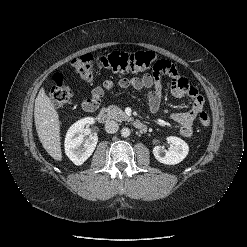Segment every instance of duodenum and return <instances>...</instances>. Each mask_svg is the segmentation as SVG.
Instances as JSON below:
<instances>
[{
	"instance_id": "1",
	"label": "duodenum",
	"mask_w": 247,
	"mask_h": 247,
	"mask_svg": "<svg viewBox=\"0 0 247 247\" xmlns=\"http://www.w3.org/2000/svg\"><path fill=\"white\" fill-rule=\"evenodd\" d=\"M109 119H110V115L106 109H102L97 114V120L101 123H105V122L109 121ZM134 126L136 129L143 131V132L147 130V125L141 121H135Z\"/></svg>"
}]
</instances>
